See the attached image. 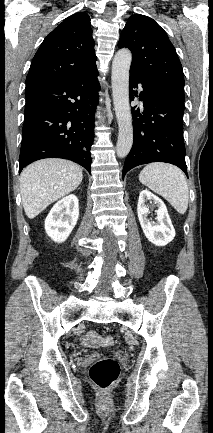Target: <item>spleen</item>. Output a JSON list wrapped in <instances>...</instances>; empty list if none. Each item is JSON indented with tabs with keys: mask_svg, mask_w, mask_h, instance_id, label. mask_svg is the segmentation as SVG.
Instances as JSON below:
<instances>
[{
	"mask_svg": "<svg viewBox=\"0 0 213 433\" xmlns=\"http://www.w3.org/2000/svg\"><path fill=\"white\" fill-rule=\"evenodd\" d=\"M139 181L164 197L180 214L186 212L189 189L179 168L165 163H151L140 172Z\"/></svg>",
	"mask_w": 213,
	"mask_h": 433,
	"instance_id": "1",
	"label": "spleen"
}]
</instances>
